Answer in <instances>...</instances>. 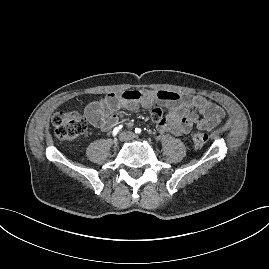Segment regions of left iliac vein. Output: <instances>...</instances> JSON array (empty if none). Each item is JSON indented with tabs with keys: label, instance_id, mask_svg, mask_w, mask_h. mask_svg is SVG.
I'll return each instance as SVG.
<instances>
[{
	"label": "left iliac vein",
	"instance_id": "left-iliac-vein-1",
	"mask_svg": "<svg viewBox=\"0 0 269 269\" xmlns=\"http://www.w3.org/2000/svg\"><path fill=\"white\" fill-rule=\"evenodd\" d=\"M122 135L125 136L126 139H130V140H133L136 138V134H134L133 132H124L122 133Z\"/></svg>",
	"mask_w": 269,
	"mask_h": 269
}]
</instances>
